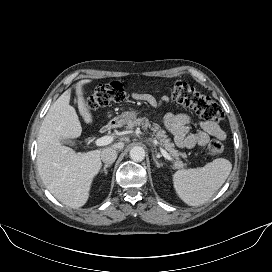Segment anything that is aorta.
<instances>
[{"instance_id":"aorta-1","label":"aorta","mask_w":272,"mask_h":272,"mask_svg":"<svg viewBox=\"0 0 272 272\" xmlns=\"http://www.w3.org/2000/svg\"><path fill=\"white\" fill-rule=\"evenodd\" d=\"M130 158L135 162H141L145 158V150L140 146H135L130 150Z\"/></svg>"}]
</instances>
